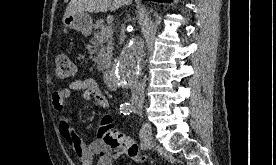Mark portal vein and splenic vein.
I'll return each instance as SVG.
<instances>
[{
	"label": "portal vein and splenic vein",
	"mask_w": 276,
	"mask_h": 165,
	"mask_svg": "<svg viewBox=\"0 0 276 165\" xmlns=\"http://www.w3.org/2000/svg\"><path fill=\"white\" fill-rule=\"evenodd\" d=\"M101 34L106 37H111L113 34L112 27L110 26H105L101 29Z\"/></svg>",
	"instance_id": "portal-vein-and-splenic-vein-1"
}]
</instances>
